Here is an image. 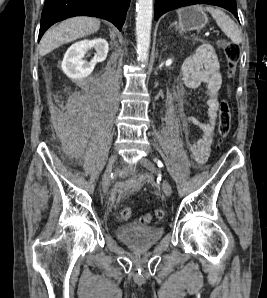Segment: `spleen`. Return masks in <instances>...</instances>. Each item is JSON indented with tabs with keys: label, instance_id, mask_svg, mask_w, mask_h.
Wrapping results in <instances>:
<instances>
[{
	"label": "spleen",
	"instance_id": "1",
	"mask_svg": "<svg viewBox=\"0 0 267 298\" xmlns=\"http://www.w3.org/2000/svg\"><path fill=\"white\" fill-rule=\"evenodd\" d=\"M196 7L199 9H203L202 6ZM204 10L211 13L217 25L224 32V34L231 39L233 43L240 44L242 42V34L237 24L228 15H226L222 9L207 6L204 8Z\"/></svg>",
	"mask_w": 267,
	"mask_h": 298
}]
</instances>
